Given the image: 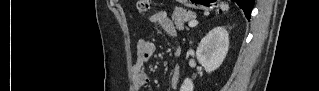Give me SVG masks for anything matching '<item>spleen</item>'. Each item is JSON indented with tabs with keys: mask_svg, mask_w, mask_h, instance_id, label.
<instances>
[{
	"mask_svg": "<svg viewBox=\"0 0 319 91\" xmlns=\"http://www.w3.org/2000/svg\"><path fill=\"white\" fill-rule=\"evenodd\" d=\"M220 7H221V9H222L223 11H225V10H228V9H229V5H228V4H226V3H221Z\"/></svg>",
	"mask_w": 319,
	"mask_h": 91,
	"instance_id": "obj_1",
	"label": "spleen"
}]
</instances>
